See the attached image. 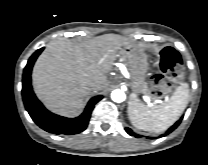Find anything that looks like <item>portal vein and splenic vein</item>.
<instances>
[{
	"mask_svg": "<svg viewBox=\"0 0 208 165\" xmlns=\"http://www.w3.org/2000/svg\"><path fill=\"white\" fill-rule=\"evenodd\" d=\"M145 99H146V100H149V98H148V97H145Z\"/></svg>",
	"mask_w": 208,
	"mask_h": 165,
	"instance_id": "1",
	"label": "portal vein and splenic vein"
}]
</instances>
